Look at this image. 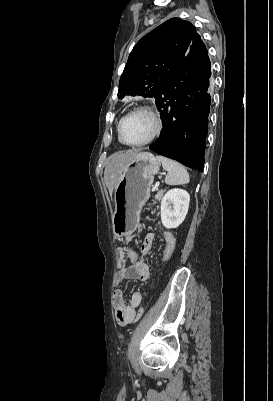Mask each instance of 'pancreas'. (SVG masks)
I'll return each instance as SVG.
<instances>
[{"instance_id": "cf45deb5", "label": "pancreas", "mask_w": 273, "mask_h": 401, "mask_svg": "<svg viewBox=\"0 0 273 401\" xmlns=\"http://www.w3.org/2000/svg\"><path fill=\"white\" fill-rule=\"evenodd\" d=\"M163 194V190H159V192H157V194H155V198H161Z\"/></svg>"}]
</instances>
